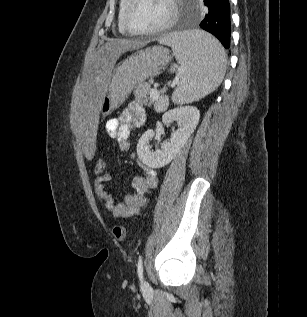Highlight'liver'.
Wrapping results in <instances>:
<instances>
[{"label": "liver", "mask_w": 307, "mask_h": 317, "mask_svg": "<svg viewBox=\"0 0 307 317\" xmlns=\"http://www.w3.org/2000/svg\"><path fill=\"white\" fill-rule=\"evenodd\" d=\"M145 44L129 39H111L86 63L71 109V128L79 140L76 147L81 149L82 159H93L99 148L95 129L98 126L100 102L117 59L124 52L141 48Z\"/></svg>", "instance_id": "1"}]
</instances>
